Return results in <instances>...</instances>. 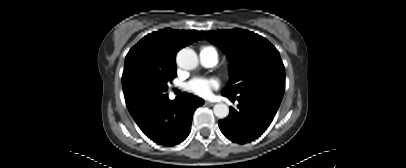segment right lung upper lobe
I'll return each mask as SVG.
<instances>
[{
	"label": "right lung upper lobe",
	"instance_id": "obj_1",
	"mask_svg": "<svg viewBox=\"0 0 406 168\" xmlns=\"http://www.w3.org/2000/svg\"><path fill=\"white\" fill-rule=\"evenodd\" d=\"M203 38L198 31L163 29L142 38L125 58L122 83L136 66H147L158 70L176 69L175 56L183 47Z\"/></svg>",
	"mask_w": 406,
	"mask_h": 168
}]
</instances>
